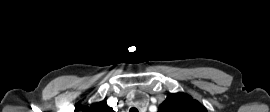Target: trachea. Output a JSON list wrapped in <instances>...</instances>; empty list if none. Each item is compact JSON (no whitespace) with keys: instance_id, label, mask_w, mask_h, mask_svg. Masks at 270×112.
I'll return each mask as SVG.
<instances>
[{"instance_id":"trachea-1","label":"trachea","mask_w":270,"mask_h":112,"mask_svg":"<svg viewBox=\"0 0 270 112\" xmlns=\"http://www.w3.org/2000/svg\"><path fill=\"white\" fill-rule=\"evenodd\" d=\"M129 112H139L137 108L132 107Z\"/></svg>"}]
</instances>
